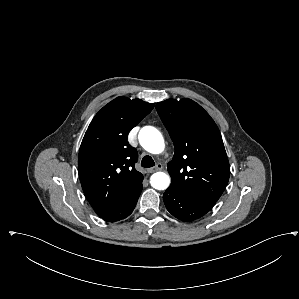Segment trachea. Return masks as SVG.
Segmentation results:
<instances>
[{
  "mask_svg": "<svg viewBox=\"0 0 299 299\" xmlns=\"http://www.w3.org/2000/svg\"><path fill=\"white\" fill-rule=\"evenodd\" d=\"M141 166L145 167V168H150V167L155 166V162L152 159V157H150V156H144L143 159H142V161H141Z\"/></svg>",
  "mask_w": 299,
  "mask_h": 299,
  "instance_id": "trachea-1",
  "label": "trachea"
}]
</instances>
